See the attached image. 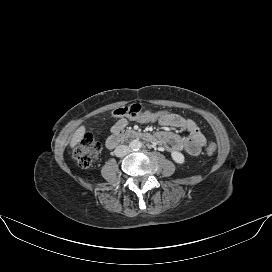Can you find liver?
<instances>
[{"label": "liver", "mask_w": 272, "mask_h": 272, "mask_svg": "<svg viewBox=\"0 0 272 272\" xmlns=\"http://www.w3.org/2000/svg\"><path fill=\"white\" fill-rule=\"evenodd\" d=\"M85 134V127L80 126L73 134V137L70 141V147H75L82 139Z\"/></svg>", "instance_id": "6515ba94"}]
</instances>
